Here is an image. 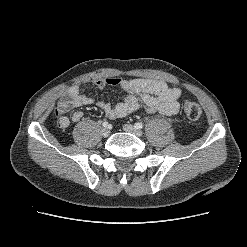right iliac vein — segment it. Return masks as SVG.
Here are the masks:
<instances>
[{
    "label": "right iliac vein",
    "instance_id": "right-iliac-vein-1",
    "mask_svg": "<svg viewBox=\"0 0 247 247\" xmlns=\"http://www.w3.org/2000/svg\"><path fill=\"white\" fill-rule=\"evenodd\" d=\"M101 133L104 137H107L110 134V130L107 127L101 129Z\"/></svg>",
    "mask_w": 247,
    "mask_h": 247
}]
</instances>
